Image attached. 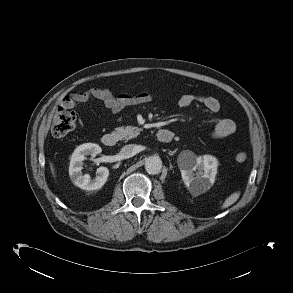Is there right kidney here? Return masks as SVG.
Here are the masks:
<instances>
[{
	"label": "right kidney",
	"mask_w": 293,
	"mask_h": 293,
	"mask_svg": "<svg viewBox=\"0 0 293 293\" xmlns=\"http://www.w3.org/2000/svg\"><path fill=\"white\" fill-rule=\"evenodd\" d=\"M102 151L101 147L94 143H85L77 147L70 160L69 166V175L71 181L83 190H98L103 187L106 183L109 170L107 167L101 166L97 169V177L91 179L89 174H83V162L86 159L87 155L95 157L97 154H100Z\"/></svg>",
	"instance_id": "1"
}]
</instances>
